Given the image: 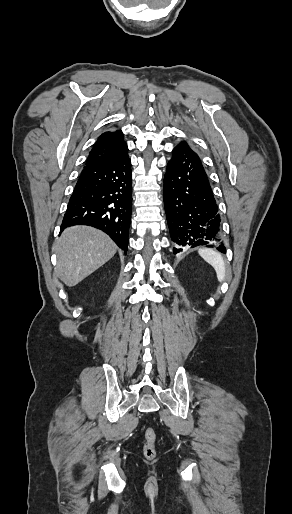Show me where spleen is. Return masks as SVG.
<instances>
[{
	"instance_id": "3e777b00",
	"label": "spleen",
	"mask_w": 292,
	"mask_h": 514,
	"mask_svg": "<svg viewBox=\"0 0 292 514\" xmlns=\"http://www.w3.org/2000/svg\"><path fill=\"white\" fill-rule=\"evenodd\" d=\"M198 254L201 256V258H203V260H205V262H208V264L213 266L219 282H223V280H225L226 272L225 262L221 254L214 252V250H210V248H200Z\"/></svg>"
}]
</instances>
